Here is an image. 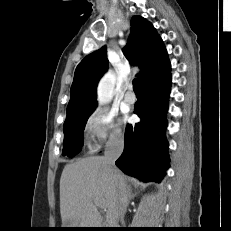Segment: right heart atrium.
<instances>
[{
    "label": "right heart atrium",
    "instance_id": "right-heart-atrium-1",
    "mask_svg": "<svg viewBox=\"0 0 231 231\" xmlns=\"http://www.w3.org/2000/svg\"><path fill=\"white\" fill-rule=\"evenodd\" d=\"M83 132L92 149L117 143L123 139V133L115 120L114 113L104 107L94 109L87 116Z\"/></svg>",
    "mask_w": 231,
    "mask_h": 231
}]
</instances>
